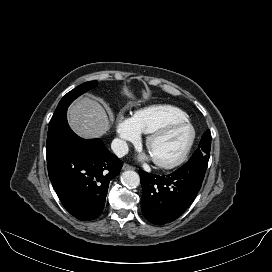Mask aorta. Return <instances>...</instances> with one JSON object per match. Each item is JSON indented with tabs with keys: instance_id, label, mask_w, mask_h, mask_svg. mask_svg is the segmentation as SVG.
<instances>
[{
	"instance_id": "obj_1",
	"label": "aorta",
	"mask_w": 272,
	"mask_h": 272,
	"mask_svg": "<svg viewBox=\"0 0 272 272\" xmlns=\"http://www.w3.org/2000/svg\"><path fill=\"white\" fill-rule=\"evenodd\" d=\"M121 181L128 188H136L140 184V177L135 171L128 170L122 173Z\"/></svg>"
}]
</instances>
